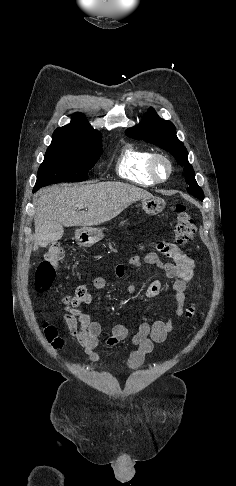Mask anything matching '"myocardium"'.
<instances>
[{
  "mask_svg": "<svg viewBox=\"0 0 236 486\" xmlns=\"http://www.w3.org/2000/svg\"><path fill=\"white\" fill-rule=\"evenodd\" d=\"M163 161L168 168L167 175L165 177H160L157 173V163ZM147 171L149 176L153 179L155 183H163L169 180L173 173V164L170 158L163 153H152L148 160Z\"/></svg>",
  "mask_w": 236,
  "mask_h": 486,
  "instance_id": "obj_1",
  "label": "myocardium"
}]
</instances>
